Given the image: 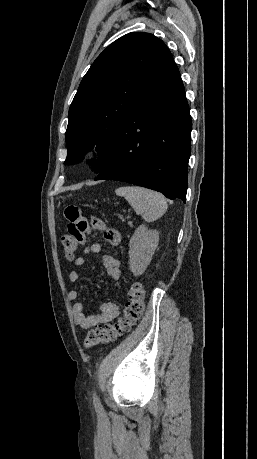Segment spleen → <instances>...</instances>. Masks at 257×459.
Returning a JSON list of instances; mask_svg holds the SVG:
<instances>
[{
  "mask_svg": "<svg viewBox=\"0 0 257 459\" xmlns=\"http://www.w3.org/2000/svg\"><path fill=\"white\" fill-rule=\"evenodd\" d=\"M118 196H123L132 206L136 214L146 222L160 218L167 210L164 196L153 190L139 186H124L116 189Z\"/></svg>",
  "mask_w": 257,
  "mask_h": 459,
  "instance_id": "1",
  "label": "spleen"
}]
</instances>
